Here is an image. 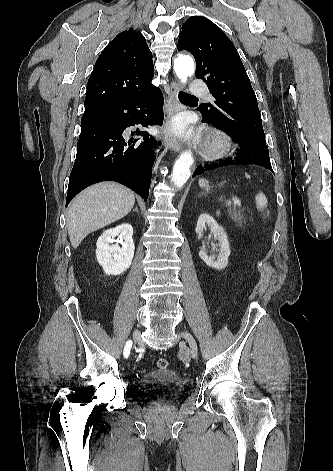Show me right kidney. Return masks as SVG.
Segmentation results:
<instances>
[{"instance_id": "1", "label": "right kidney", "mask_w": 333, "mask_h": 471, "mask_svg": "<svg viewBox=\"0 0 333 471\" xmlns=\"http://www.w3.org/2000/svg\"><path fill=\"white\" fill-rule=\"evenodd\" d=\"M132 235V226L124 223L104 231L98 238L96 258L106 275H119L130 267L135 249Z\"/></svg>"}]
</instances>
